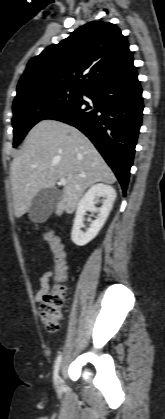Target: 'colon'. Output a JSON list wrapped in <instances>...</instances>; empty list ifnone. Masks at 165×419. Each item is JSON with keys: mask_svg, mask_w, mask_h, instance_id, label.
<instances>
[{"mask_svg": "<svg viewBox=\"0 0 165 419\" xmlns=\"http://www.w3.org/2000/svg\"><path fill=\"white\" fill-rule=\"evenodd\" d=\"M45 238L54 257L55 285L52 290L43 296L38 312L45 328L50 332H55L59 329L63 318L68 268L65 262V252L59 237L53 233H46Z\"/></svg>", "mask_w": 165, "mask_h": 419, "instance_id": "colon-1", "label": "colon"}]
</instances>
